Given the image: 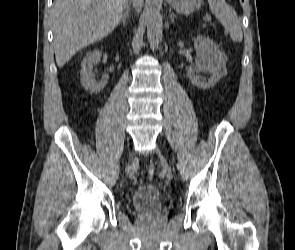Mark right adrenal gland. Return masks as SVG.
<instances>
[{
	"instance_id": "obj_1",
	"label": "right adrenal gland",
	"mask_w": 295,
	"mask_h": 250,
	"mask_svg": "<svg viewBox=\"0 0 295 250\" xmlns=\"http://www.w3.org/2000/svg\"><path fill=\"white\" fill-rule=\"evenodd\" d=\"M129 17V13H128V8L126 9V11L124 12L123 16H122V20L121 22H119V25L122 23L123 26H126V19Z\"/></svg>"
}]
</instances>
